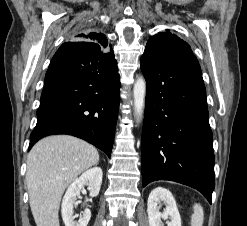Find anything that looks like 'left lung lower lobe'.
<instances>
[{
	"instance_id": "obj_1",
	"label": "left lung lower lobe",
	"mask_w": 247,
	"mask_h": 226,
	"mask_svg": "<svg viewBox=\"0 0 247 226\" xmlns=\"http://www.w3.org/2000/svg\"><path fill=\"white\" fill-rule=\"evenodd\" d=\"M146 79L142 131V184L170 180L200 191L211 203L214 180L213 136L206 90L194 55L144 51Z\"/></svg>"
}]
</instances>
